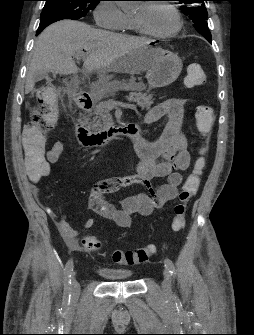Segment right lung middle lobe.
<instances>
[{"label":"right lung middle lobe","instance_id":"dd1d6c3e","mask_svg":"<svg viewBox=\"0 0 254 335\" xmlns=\"http://www.w3.org/2000/svg\"><path fill=\"white\" fill-rule=\"evenodd\" d=\"M40 19H79L94 9L100 0H45Z\"/></svg>","mask_w":254,"mask_h":335}]
</instances>
